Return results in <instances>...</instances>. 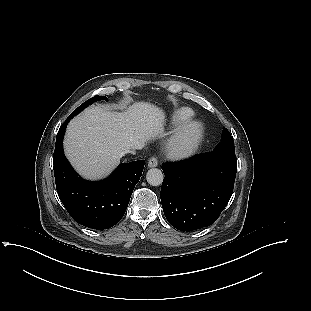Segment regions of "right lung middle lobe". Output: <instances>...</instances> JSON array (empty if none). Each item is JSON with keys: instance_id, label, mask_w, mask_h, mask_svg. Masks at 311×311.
Returning a JSON list of instances; mask_svg holds the SVG:
<instances>
[{"instance_id": "1", "label": "right lung middle lobe", "mask_w": 311, "mask_h": 311, "mask_svg": "<svg viewBox=\"0 0 311 311\" xmlns=\"http://www.w3.org/2000/svg\"><path fill=\"white\" fill-rule=\"evenodd\" d=\"M98 100H105L107 101L108 99L105 96H95L90 98L89 100L85 101L82 105H80L72 114L71 116L74 117L78 113H80L82 110H84L86 107H88L90 104L93 102H96Z\"/></svg>"}]
</instances>
